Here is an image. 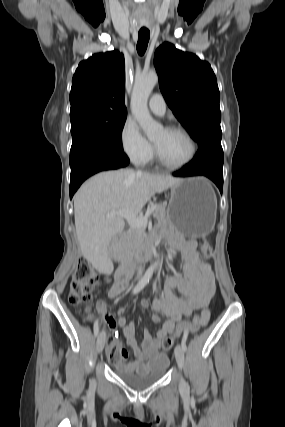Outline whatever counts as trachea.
I'll return each instance as SVG.
<instances>
[{"label":"trachea","mask_w":285,"mask_h":427,"mask_svg":"<svg viewBox=\"0 0 285 427\" xmlns=\"http://www.w3.org/2000/svg\"><path fill=\"white\" fill-rule=\"evenodd\" d=\"M149 38H150V32L145 30V31H139L138 33V42H137V52L139 55H144L146 49H147V45L149 42Z\"/></svg>","instance_id":"1"}]
</instances>
